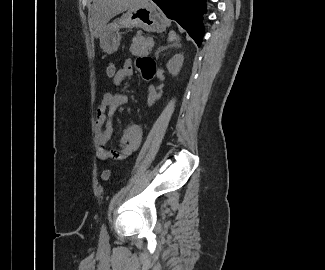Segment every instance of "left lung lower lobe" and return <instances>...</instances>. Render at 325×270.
<instances>
[{
    "instance_id": "left-lung-lower-lobe-1",
    "label": "left lung lower lobe",
    "mask_w": 325,
    "mask_h": 270,
    "mask_svg": "<svg viewBox=\"0 0 325 270\" xmlns=\"http://www.w3.org/2000/svg\"><path fill=\"white\" fill-rule=\"evenodd\" d=\"M165 15L177 21L201 45L204 35L202 15L206 13L205 0H153Z\"/></svg>"
}]
</instances>
